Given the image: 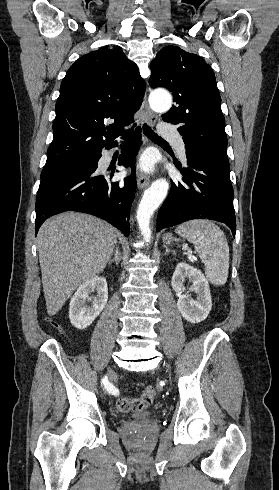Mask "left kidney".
<instances>
[{
  "instance_id": "1",
  "label": "left kidney",
  "mask_w": 279,
  "mask_h": 490,
  "mask_svg": "<svg viewBox=\"0 0 279 490\" xmlns=\"http://www.w3.org/2000/svg\"><path fill=\"white\" fill-rule=\"evenodd\" d=\"M186 278H188L189 282H192L189 292H195V294H197L196 300L190 298L189 292L183 294L184 290H186V288H184ZM171 286L174 292L179 294L177 308L181 316H183L187 322H191V324L203 322L208 314H210L212 308L210 286L204 274H202L200 270H197V268H193V266L181 262V264H177L175 268Z\"/></svg>"
}]
</instances>
